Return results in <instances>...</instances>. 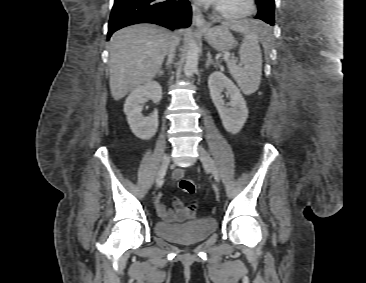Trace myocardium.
Here are the masks:
<instances>
[{"label": "myocardium", "instance_id": "obj_1", "mask_svg": "<svg viewBox=\"0 0 366 283\" xmlns=\"http://www.w3.org/2000/svg\"><path fill=\"white\" fill-rule=\"evenodd\" d=\"M245 8L238 11H232L221 7L219 4L214 5V11L219 17L226 20H237L252 15L257 8L256 0H245Z\"/></svg>", "mask_w": 366, "mask_h": 283}]
</instances>
